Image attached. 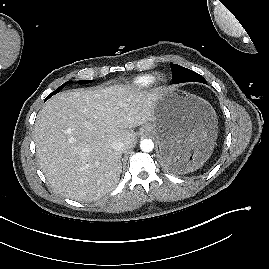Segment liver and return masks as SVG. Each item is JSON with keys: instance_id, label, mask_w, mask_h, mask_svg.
Wrapping results in <instances>:
<instances>
[{"instance_id": "obj_1", "label": "liver", "mask_w": 269, "mask_h": 269, "mask_svg": "<svg viewBox=\"0 0 269 269\" xmlns=\"http://www.w3.org/2000/svg\"><path fill=\"white\" fill-rule=\"evenodd\" d=\"M156 93L129 85L77 89L53 96L39 111L34 141L41 170L59 194L96 201L117 186L122 151L135 144L133 128L150 121Z\"/></svg>"}]
</instances>
